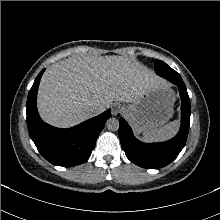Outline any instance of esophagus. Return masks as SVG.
<instances>
[{
    "label": "esophagus",
    "mask_w": 220,
    "mask_h": 220,
    "mask_svg": "<svg viewBox=\"0 0 220 220\" xmlns=\"http://www.w3.org/2000/svg\"><path fill=\"white\" fill-rule=\"evenodd\" d=\"M121 112V106L119 104H115L112 106L111 113L113 116L118 115Z\"/></svg>",
    "instance_id": "1"
}]
</instances>
